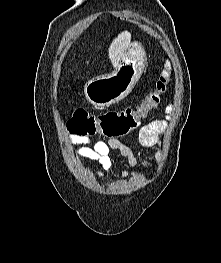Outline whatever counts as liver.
<instances>
[{"label":"liver","instance_id":"liver-1","mask_svg":"<svg viewBox=\"0 0 221 263\" xmlns=\"http://www.w3.org/2000/svg\"><path fill=\"white\" fill-rule=\"evenodd\" d=\"M131 33L124 31L120 33L109 47V58L113 66H116L123 57L130 44Z\"/></svg>","mask_w":221,"mask_h":263}]
</instances>
